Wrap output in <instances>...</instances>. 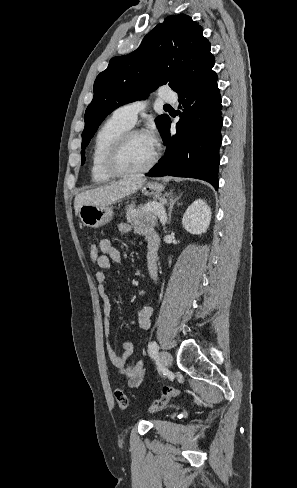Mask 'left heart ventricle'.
Segmentation results:
<instances>
[{"label":"left heart ventricle","instance_id":"obj_1","mask_svg":"<svg viewBox=\"0 0 297 488\" xmlns=\"http://www.w3.org/2000/svg\"><path fill=\"white\" fill-rule=\"evenodd\" d=\"M155 148L144 135L132 137L125 146L121 158L120 166L125 170H135L144 167L151 160Z\"/></svg>","mask_w":297,"mask_h":488}]
</instances>
